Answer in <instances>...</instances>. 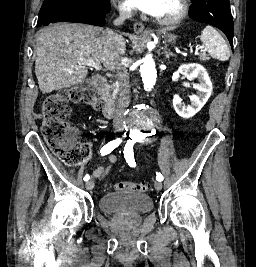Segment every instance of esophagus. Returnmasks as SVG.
<instances>
[{"label":"esophagus","instance_id":"esophagus-1","mask_svg":"<svg viewBox=\"0 0 256 267\" xmlns=\"http://www.w3.org/2000/svg\"><path fill=\"white\" fill-rule=\"evenodd\" d=\"M133 28H134V33L136 34L144 32V25L141 22L134 23Z\"/></svg>","mask_w":256,"mask_h":267}]
</instances>
